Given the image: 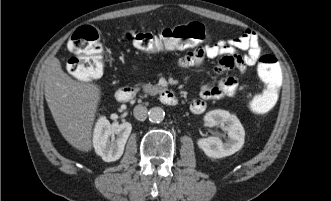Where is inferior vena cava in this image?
Returning <instances> with one entry per match:
<instances>
[{"label": "inferior vena cava", "instance_id": "obj_1", "mask_svg": "<svg viewBox=\"0 0 331 201\" xmlns=\"http://www.w3.org/2000/svg\"><path fill=\"white\" fill-rule=\"evenodd\" d=\"M148 110L143 105H137L134 108L133 114L134 117L139 121H144L147 118Z\"/></svg>", "mask_w": 331, "mask_h": 201}]
</instances>
